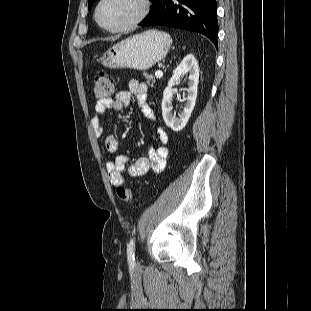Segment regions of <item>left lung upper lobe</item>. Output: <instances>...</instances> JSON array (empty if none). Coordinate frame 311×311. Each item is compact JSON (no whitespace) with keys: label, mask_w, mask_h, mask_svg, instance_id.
I'll return each mask as SVG.
<instances>
[{"label":"left lung upper lobe","mask_w":311,"mask_h":311,"mask_svg":"<svg viewBox=\"0 0 311 311\" xmlns=\"http://www.w3.org/2000/svg\"><path fill=\"white\" fill-rule=\"evenodd\" d=\"M96 0H89V3H88V7L89 9L92 7L93 3L95 2Z\"/></svg>","instance_id":"5c2ea615"}]
</instances>
